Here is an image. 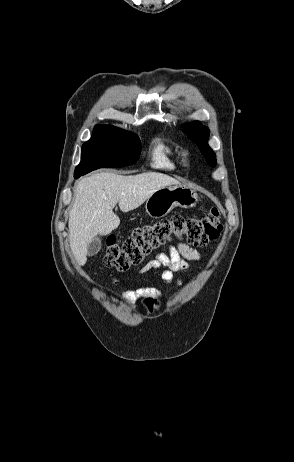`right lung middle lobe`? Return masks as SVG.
<instances>
[{"label":"right lung middle lobe","instance_id":"dd1d6c3e","mask_svg":"<svg viewBox=\"0 0 294 462\" xmlns=\"http://www.w3.org/2000/svg\"><path fill=\"white\" fill-rule=\"evenodd\" d=\"M141 143L137 136L119 128L96 125L89 141L82 146L81 162L74 176L90 172L92 161L101 153L112 155L117 167L133 164L139 158Z\"/></svg>","mask_w":294,"mask_h":462}]
</instances>
